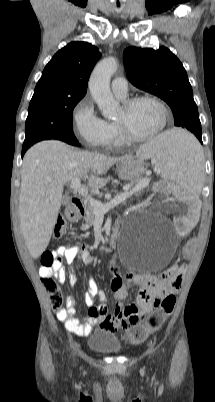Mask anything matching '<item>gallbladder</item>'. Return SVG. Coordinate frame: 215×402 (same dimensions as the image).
Instances as JSON below:
<instances>
[{"label":"gallbladder","instance_id":"bac80fb5","mask_svg":"<svg viewBox=\"0 0 215 402\" xmlns=\"http://www.w3.org/2000/svg\"><path fill=\"white\" fill-rule=\"evenodd\" d=\"M69 202H70V197L67 196V195L63 196L62 203L63 204H68Z\"/></svg>","mask_w":215,"mask_h":402}]
</instances>
